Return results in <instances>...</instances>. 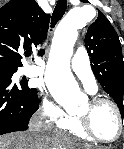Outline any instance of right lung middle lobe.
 <instances>
[{
    "mask_svg": "<svg viewBox=\"0 0 124 149\" xmlns=\"http://www.w3.org/2000/svg\"><path fill=\"white\" fill-rule=\"evenodd\" d=\"M17 71L16 68H0V72H4L7 75H13Z\"/></svg>",
    "mask_w": 124,
    "mask_h": 149,
    "instance_id": "right-lung-middle-lobe-1",
    "label": "right lung middle lobe"
}]
</instances>
